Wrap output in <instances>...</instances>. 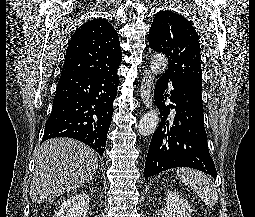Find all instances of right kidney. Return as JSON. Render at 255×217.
<instances>
[{"label":"right kidney","instance_id":"right-kidney-1","mask_svg":"<svg viewBox=\"0 0 255 217\" xmlns=\"http://www.w3.org/2000/svg\"><path fill=\"white\" fill-rule=\"evenodd\" d=\"M89 208V196L78 193L64 200L56 212V217H86Z\"/></svg>","mask_w":255,"mask_h":217}]
</instances>
